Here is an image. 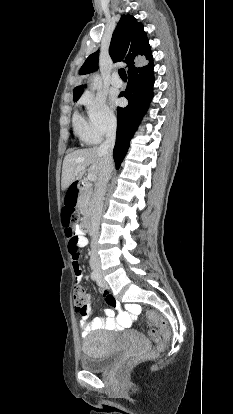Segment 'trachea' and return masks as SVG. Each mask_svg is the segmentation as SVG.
<instances>
[{
    "label": "trachea",
    "instance_id": "1",
    "mask_svg": "<svg viewBox=\"0 0 233 414\" xmlns=\"http://www.w3.org/2000/svg\"><path fill=\"white\" fill-rule=\"evenodd\" d=\"M119 75L122 79H127V74L125 72V69L123 68L119 69Z\"/></svg>",
    "mask_w": 233,
    "mask_h": 414
}]
</instances>
